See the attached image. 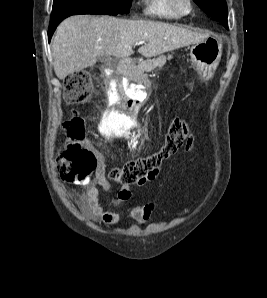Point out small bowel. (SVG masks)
<instances>
[{
	"label": "small bowel",
	"instance_id": "1",
	"mask_svg": "<svg viewBox=\"0 0 267 298\" xmlns=\"http://www.w3.org/2000/svg\"><path fill=\"white\" fill-rule=\"evenodd\" d=\"M158 173L159 169L151 178L140 181L134 184V186H142L146 182L153 180L158 175ZM96 182L104 190L110 189V184L105 178L104 162L101 158L99 159L96 171ZM131 186L132 185H124L122 187L117 196V204L125 205L131 199ZM70 196L86 217L94 221H102L106 224L111 225L116 224L120 221L119 214L115 212L106 211L100 205L98 201V189L96 186L90 185L87 189V192L83 195L77 193H70ZM155 207L156 205L153 202L147 203L142 206L132 207L129 210V217L138 224H144L150 219L151 215L155 210Z\"/></svg>",
	"mask_w": 267,
	"mask_h": 298
}]
</instances>
